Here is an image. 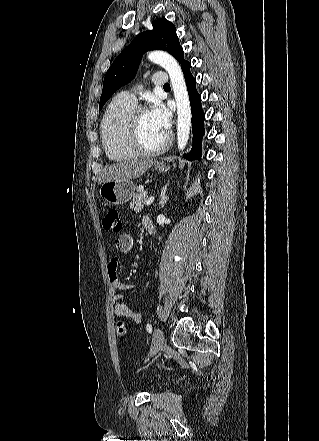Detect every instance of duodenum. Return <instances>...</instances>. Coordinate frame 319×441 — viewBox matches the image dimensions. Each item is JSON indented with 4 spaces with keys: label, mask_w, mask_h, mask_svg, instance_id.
Masks as SVG:
<instances>
[{
    "label": "duodenum",
    "mask_w": 319,
    "mask_h": 441,
    "mask_svg": "<svg viewBox=\"0 0 319 441\" xmlns=\"http://www.w3.org/2000/svg\"><path fill=\"white\" fill-rule=\"evenodd\" d=\"M146 230L148 231V233L152 234L155 230V226L153 223H148L146 225Z\"/></svg>",
    "instance_id": "duodenum-1"
}]
</instances>
